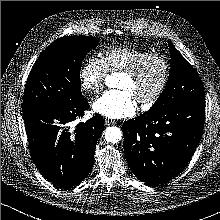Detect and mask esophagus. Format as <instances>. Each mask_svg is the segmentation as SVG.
<instances>
[{
	"label": "esophagus",
	"instance_id": "esophagus-1",
	"mask_svg": "<svg viewBox=\"0 0 220 220\" xmlns=\"http://www.w3.org/2000/svg\"><path fill=\"white\" fill-rule=\"evenodd\" d=\"M105 124L106 125H110V124H113L114 123V121L113 120H111V119H109V118H105Z\"/></svg>",
	"mask_w": 220,
	"mask_h": 220
}]
</instances>
